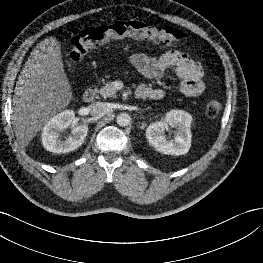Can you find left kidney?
<instances>
[{
    "instance_id": "5707ae66",
    "label": "left kidney",
    "mask_w": 263,
    "mask_h": 263,
    "mask_svg": "<svg viewBox=\"0 0 263 263\" xmlns=\"http://www.w3.org/2000/svg\"><path fill=\"white\" fill-rule=\"evenodd\" d=\"M165 120L171 127L177 128L174 140H167L164 136L163 123H152L146 129L148 142L163 154L176 156L186 154L191 146V115L181 110H171L166 114Z\"/></svg>"
}]
</instances>
